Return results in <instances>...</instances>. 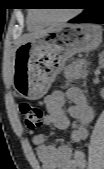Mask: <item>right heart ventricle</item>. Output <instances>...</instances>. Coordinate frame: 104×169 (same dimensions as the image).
<instances>
[{"label":"right heart ventricle","instance_id":"e07e8e85","mask_svg":"<svg viewBox=\"0 0 104 169\" xmlns=\"http://www.w3.org/2000/svg\"><path fill=\"white\" fill-rule=\"evenodd\" d=\"M27 26L28 29L31 31H37L42 29L45 24L39 21L34 13H30L27 18Z\"/></svg>","mask_w":104,"mask_h":169}]
</instances>
